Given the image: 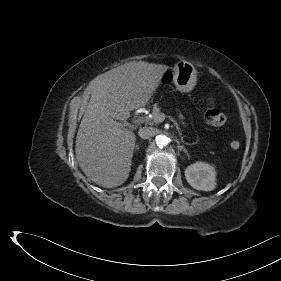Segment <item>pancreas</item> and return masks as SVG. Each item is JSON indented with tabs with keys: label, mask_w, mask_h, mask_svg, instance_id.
Segmentation results:
<instances>
[{
	"label": "pancreas",
	"mask_w": 281,
	"mask_h": 281,
	"mask_svg": "<svg viewBox=\"0 0 281 281\" xmlns=\"http://www.w3.org/2000/svg\"><path fill=\"white\" fill-rule=\"evenodd\" d=\"M163 113L160 111V108L154 104L153 109H152V117H146L145 122L147 124H158L160 123L158 121V118L162 115Z\"/></svg>",
	"instance_id": "cf45deb5"
}]
</instances>
